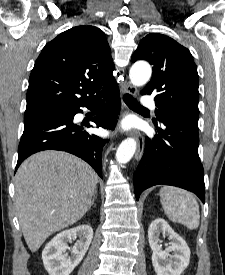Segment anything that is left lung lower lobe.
<instances>
[{"instance_id":"obj_1","label":"left lung lower lobe","mask_w":225,"mask_h":275,"mask_svg":"<svg viewBox=\"0 0 225 275\" xmlns=\"http://www.w3.org/2000/svg\"><path fill=\"white\" fill-rule=\"evenodd\" d=\"M158 134L146 147L133 178L136 199L145 189L172 185L195 193L205 203L204 170L198 155V126L163 117Z\"/></svg>"}]
</instances>
